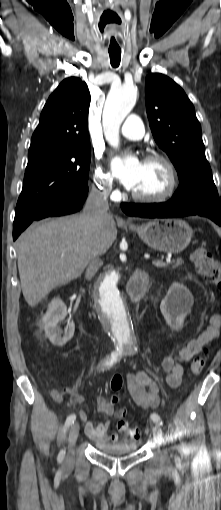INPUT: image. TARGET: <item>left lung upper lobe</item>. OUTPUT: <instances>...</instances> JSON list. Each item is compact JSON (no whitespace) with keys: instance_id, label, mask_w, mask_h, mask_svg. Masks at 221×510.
<instances>
[{"instance_id":"5c2ea615","label":"left lung upper lobe","mask_w":221,"mask_h":510,"mask_svg":"<svg viewBox=\"0 0 221 510\" xmlns=\"http://www.w3.org/2000/svg\"><path fill=\"white\" fill-rule=\"evenodd\" d=\"M145 94L153 137L171 159L180 181L168 202L185 207H220L191 101L179 85L160 73L146 77Z\"/></svg>"}]
</instances>
